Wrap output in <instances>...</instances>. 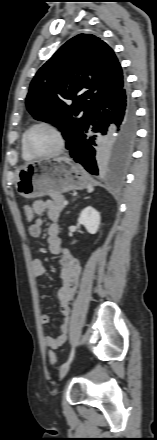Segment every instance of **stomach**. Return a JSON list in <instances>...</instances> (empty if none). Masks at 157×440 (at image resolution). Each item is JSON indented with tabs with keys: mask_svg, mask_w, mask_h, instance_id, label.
Segmentation results:
<instances>
[{
	"mask_svg": "<svg viewBox=\"0 0 157 440\" xmlns=\"http://www.w3.org/2000/svg\"><path fill=\"white\" fill-rule=\"evenodd\" d=\"M87 185L86 171L65 157L27 163L18 171L15 183L19 195L27 199L82 190Z\"/></svg>",
	"mask_w": 157,
	"mask_h": 440,
	"instance_id": "obj_1",
	"label": "stomach"
}]
</instances>
